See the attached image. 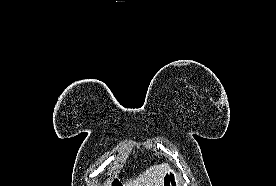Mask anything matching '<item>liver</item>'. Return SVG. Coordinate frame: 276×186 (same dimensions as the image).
<instances>
[{"mask_svg": "<svg viewBox=\"0 0 276 186\" xmlns=\"http://www.w3.org/2000/svg\"><path fill=\"white\" fill-rule=\"evenodd\" d=\"M169 165L162 163L160 165H154L146 169L138 178L133 180H127L123 182V186H161L162 179Z\"/></svg>", "mask_w": 276, "mask_h": 186, "instance_id": "1", "label": "liver"}]
</instances>
